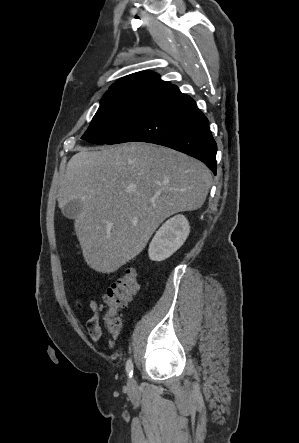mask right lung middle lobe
<instances>
[{"label": "right lung middle lobe", "instance_id": "dd1d6c3e", "mask_svg": "<svg viewBox=\"0 0 299 443\" xmlns=\"http://www.w3.org/2000/svg\"><path fill=\"white\" fill-rule=\"evenodd\" d=\"M166 90L142 87L106 92L81 139L94 144H108L134 123Z\"/></svg>", "mask_w": 299, "mask_h": 443}]
</instances>
